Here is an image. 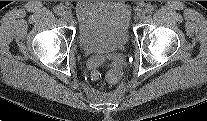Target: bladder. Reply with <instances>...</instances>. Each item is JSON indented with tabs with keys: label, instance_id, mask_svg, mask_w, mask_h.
<instances>
[{
	"label": "bladder",
	"instance_id": "obj_1",
	"mask_svg": "<svg viewBox=\"0 0 207 121\" xmlns=\"http://www.w3.org/2000/svg\"><path fill=\"white\" fill-rule=\"evenodd\" d=\"M132 10L125 1H80L75 7L78 39L90 53L122 50L129 39Z\"/></svg>",
	"mask_w": 207,
	"mask_h": 121
}]
</instances>
